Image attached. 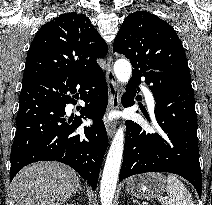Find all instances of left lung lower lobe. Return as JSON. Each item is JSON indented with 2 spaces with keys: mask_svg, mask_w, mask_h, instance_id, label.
<instances>
[{
  "mask_svg": "<svg viewBox=\"0 0 212 205\" xmlns=\"http://www.w3.org/2000/svg\"><path fill=\"white\" fill-rule=\"evenodd\" d=\"M141 78H145L154 95L158 127L155 132H149L133 121L126 122L119 181L145 172L175 173L187 179L201 196L197 117L191 80L167 71H143L132 74L128 84L130 96L135 95Z\"/></svg>",
  "mask_w": 212,
  "mask_h": 205,
  "instance_id": "1",
  "label": "left lung lower lobe"
}]
</instances>
